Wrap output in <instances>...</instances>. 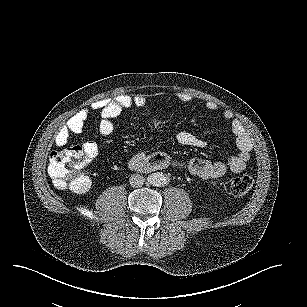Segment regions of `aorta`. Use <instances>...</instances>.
Wrapping results in <instances>:
<instances>
[{"instance_id":"1","label":"aorta","mask_w":307,"mask_h":307,"mask_svg":"<svg viewBox=\"0 0 307 307\" xmlns=\"http://www.w3.org/2000/svg\"><path fill=\"white\" fill-rule=\"evenodd\" d=\"M165 181V177L163 173L157 172L150 175V184L155 186H161L163 185Z\"/></svg>"}]
</instances>
